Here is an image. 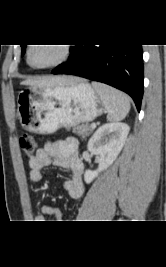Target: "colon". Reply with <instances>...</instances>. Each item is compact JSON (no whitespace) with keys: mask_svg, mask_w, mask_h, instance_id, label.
<instances>
[{"mask_svg":"<svg viewBox=\"0 0 166 267\" xmlns=\"http://www.w3.org/2000/svg\"><path fill=\"white\" fill-rule=\"evenodd\" d=\"M19 146L23 153L27 156H33L36 150V140L30 134H23L19 138Z\"/></svg>","mask_w":166,"mask_h":267,"instance_id":"obj_1","label":"colon"}]
</instances>
